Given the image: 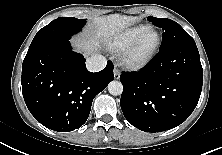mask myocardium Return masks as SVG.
I'll return each instance as SVG.
<instances>
[{
  "mask_svg": "<svg viewBox=\"0 0 222 155\" xmlns=\"http://www.w3.org/2000/svg\"><path fill=\"white\" fill-rule=\"evenodd\" d=\"M154 34L156 36L155 43L153 46L144 54H138V51L145 41V39ZM161 44V35L160 33L150 28L146 32H144L141 36H139L134 42H132L128 47H126L121 55V63L124 67L129 70H141L145 68L155 57L159 47Z\"/></svg>",
  "mask_w": 222,
  "mask_h": 155,
  "instance_id": "obj_1",
  "label": "myocardium"
}]
</instances>
